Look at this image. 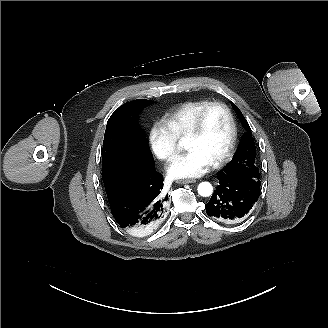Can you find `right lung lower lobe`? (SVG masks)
<instances>
[{
    "mask_svg": "<svg viewBox=\"0 0 328 328\" xmlns=\"http://www.w3.org/2000/svg\"><path fill=\"white\" fill-rule=\"evenodd\" d=\"M163 176L153 164L147 173L133 175L117 186L109 200L111 213L121 228L146 235L166 212L168 194Z\"/></svg>",
    "mask_w": 328,
    "mask_h": 328,
    "instance_id": "98d812e1",
    "label": "right lung lower lobe"
}]
</instances>
